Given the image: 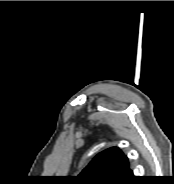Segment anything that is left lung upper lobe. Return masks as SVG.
<instances>
[{
    "label": "left lung upper lobe",
    "instance_id": "5c2ea615",
    "mask_svg": "<svg viewBox=\"0 0 174 184\" xmlns=\"http://www.w3.org/2000/svg\"><path fill=\"white\" fill-rule=\"evenodd\" d=\"M133 179L128 159L117 147L99 153L78 175L80 184H127Z\"/></svg>",
    "mask_w": 174,
    "mask_h": 184
}]
</instances>
